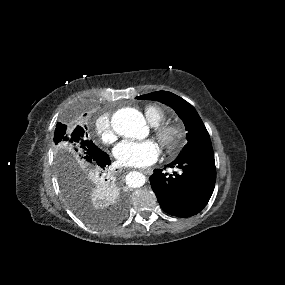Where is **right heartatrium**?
Returning <instances> with one entry per match:
<instances>
[{
  "instance_id": "1",
  "label": "right heart atrium",
  "mask_w": 285,
  "mask_h": 285,
  "mask_svg": "<svg viewBox=\"0 0 285 285\" xmlns=\"http://www.w3.org/2000/svg\"><path fill=\"white\" fill-rule=\"evenodd\" d=\"M95 131L101 142L105 145L113 143L117 138L109 113H104L97 118L95 122Z\"/></svg>"
}]
</instances>
